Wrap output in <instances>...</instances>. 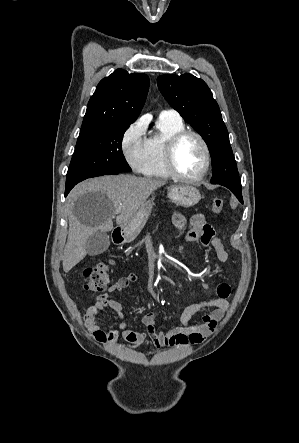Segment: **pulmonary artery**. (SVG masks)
<instances>
[{
	"mask_svg": "<svg viewBox=\"0 0 299 443\" xmlns=\"http://www.w3.org/2000/svg\"><path fill=\"white\" fill-rule=\"evenodd\" d=\"M159 117L162 118H177L180 119V115L175 110H162L159 114Z\"/></svg>",
	"mask_w": 299,
	"mask_h": 443,
	"instance_id": "obj_1",
	"label": "pulmonary artery"
}]
</instances>
